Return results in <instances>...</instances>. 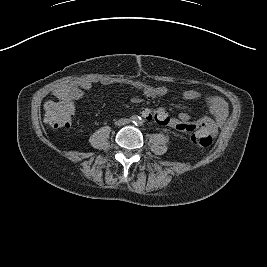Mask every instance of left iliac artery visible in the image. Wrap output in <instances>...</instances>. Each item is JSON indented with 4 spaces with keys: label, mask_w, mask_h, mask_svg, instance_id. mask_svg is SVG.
Listing matches in <instances>:
<instances>
[{
    "label": "left iliac artery",
    "mask_w": 267,
    "mask_h": 267,
    "mask_svg": "<svg viewBox=\"0 0 267 267\" xmlns=\"http://www.w3.org/2000/svg\"><path fill=\"white\" fill-rule=\"evenodd\" d=\"M144 123V120L143 119H140V121H138V126H142Z\"/></svg>",
    "instance_id": "1"
}]
</instances>
